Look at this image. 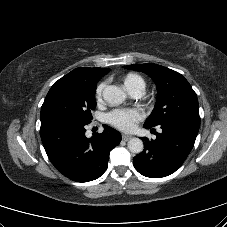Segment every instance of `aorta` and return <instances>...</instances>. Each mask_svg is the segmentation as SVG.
I'll return each mask as SVG.
<instances>
[{
  "label": "aorta",
  "instance_id": "aorta-1",
  "mask_svg": "<svg viewBox=\"0 0 227 227\" xmlns=\"http://www.w3.org/2000/svg\"><path fill=\"white\" fill-rule=\"evenodd\" d=\"M103 98L108 104L116 106L125 100L126 94L119 87L115 85H109L103 90ZM143 148V142L139 138H131L128 141V149L132 153H141Z\"/></svg>",
  "mask_w": 227,
  "mask_h": 227
}]
</instances>
